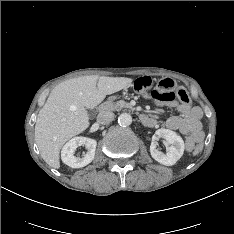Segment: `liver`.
I'll return each instance as SVG.
<instances>
[{
	"label": "liver",
	"instance_id": "6515ba94",
	"mask_svg": "<svg viewBox=\"0 0 234 234\" xmlns=\"http://www.w3.org/2000/svg\"><path fill=\"white\" fill-rule=\"evenodd\" d=\"M131 82L127 77L90 75L56 86L39 111L35 125V141L43 160L58 169L63 144L89 127L86 109L95 108L106 95L122 90Z\"/></svg>",
	"mask_w": 234,
	"mask_h": 234
}]
</instances>
